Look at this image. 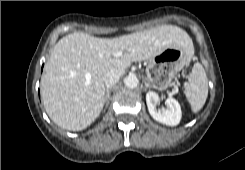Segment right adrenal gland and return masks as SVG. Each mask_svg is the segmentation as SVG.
<instances>
[{
	"label": "right adrenal gland",
	"instance_id": "1",
	"mask_svg": "<svg viewBox=\"0 0 245 170\" xmlns=\"http://www.w3.org/2000/svg\"><path fill=\"white\" fill-rule=\"evenodd\" d=\"M111 90H112V87L106 89V106H105V108H107L109 105Z\"/></svg>",
	"mask_w": 245,
	"mask_h": 170
}]
</instances>
